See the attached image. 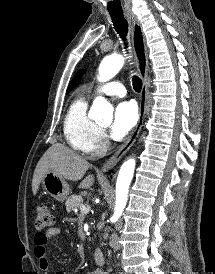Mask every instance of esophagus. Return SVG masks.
Here are the masks:
<instances>
[{"label":"esophagus","instance_id":"34e87169","mask_svg":"<svg viewBox=\"0 0 215 274\" xmlns=\"http://www.w3.org/2000/svg\"><path fill=\"white\" fill-rule=\"evenodd\" d=\"M125 16L132 29V43H133V51L135 55L136 66L143 81V86L140 94L139 120L135 129L133 130L129 138L126 140V142L102 166L103 172H106L111 167L115 166L117 162L122 158V156L134 144L136 138L141 132L143 122L145 119V114H146L147 93H148V59H147V47L145 42V36L137 17L132 13H126Z\"/></svg>","mask_w":215,"mask_h":274}]
</instances>
